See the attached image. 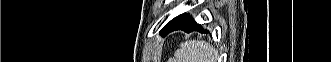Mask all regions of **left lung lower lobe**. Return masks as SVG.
Returning <instances> with one entry per match:
<instances>
[{"instance_id": "1", "label": "left lung lower lobe", "mask_w": 331, "mask_h": 62, "mask_svg": "<svg viewBox=\"0 0 331 62\" xmlns=\"http://www.w3.org/2000/svg\"><path fill=\"white\" fill-rule=\"evenodd\" d=\"M174 30H183L185 32H192L193 30L202 31L201 26L197 24L188 14H181L172 19L165 27L163 34L166 36L169 32Z\"/></svg>"}]
</instances>
